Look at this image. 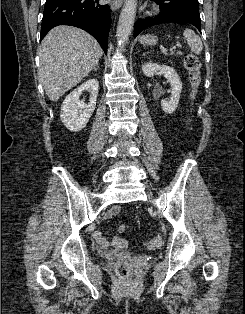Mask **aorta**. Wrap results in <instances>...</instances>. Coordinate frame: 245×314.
<instances>
[{"label":"aorta","instance_id":"obj_1","mask_svg":"<svg viewBox=\"0 0 245 314\" xmlns=\"http://www.w3.org/2000/svg\"><path fill=\"white\" fill-rule=\"evenodd\" d=\"M137 0H126L121 11L118 26L117 40L120 46H124L132 32L136 16Z\"/></svg>","mask_w":245,"mask_h":314}]
</instances>
